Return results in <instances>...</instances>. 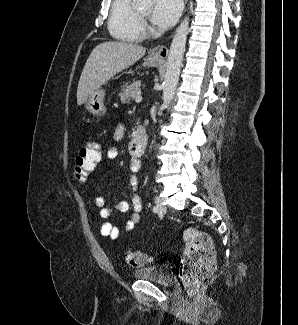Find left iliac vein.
<instances>
[{"instance_id": "1", "label": "left iliac vein", "mask_w": 298, "mask_h": 325, "mask_svg": "<svg viewBox=\"0 0 298 325\" xmlns=\"http://www.w3.org/2000/svg\"><path fill=\"white\" fill-rule=\"evenodd\" d=\"M155 203L158 208V212L164 214L166 212V207L164 206L162 200L158 196L155 197Z\"/></svg>"}]
</instances>
